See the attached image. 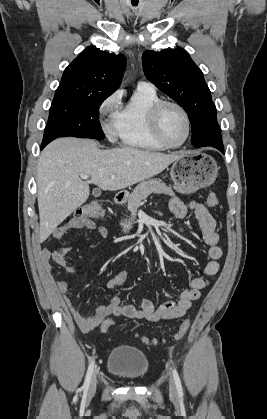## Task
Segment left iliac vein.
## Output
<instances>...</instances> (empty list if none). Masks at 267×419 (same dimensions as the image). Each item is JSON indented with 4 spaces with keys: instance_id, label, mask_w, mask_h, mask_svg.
I'll return each mask as SVG.
<instances>
[{
    "instance_id": "1",
    "label": "left iliac vein",
    "mask_w": 267,
    "mask_h": 419,
    "mask_svg": "<svg viewBox=\"0 0 267 419\" xmlns=\"http://www.w3.org/2000/svg\"><path fill=\"white\" fill-rule=\"evenodd\" d=\"M169 392H170V395L173 398H176L177 397L176 385H175V382L173 381L172 378H170V380H169Z\"/></svg>"
}]
</instances>
